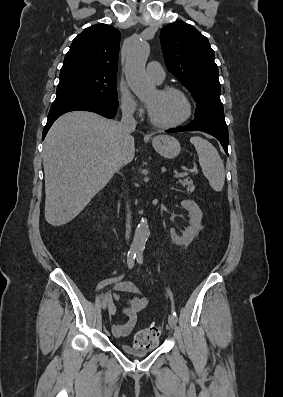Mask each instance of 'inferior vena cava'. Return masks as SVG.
<instances>
[{"instance_id": "1", "label": "inferior vena cava", "mask_w": 283, "mask_h": 397, "mask_svg": "<svg viewBox=\"0 0 283 397\" xmlns=\"http://www.w3.org/2000/svg\"><path fill=\"white\" fill-rule=\"evenodd\" d=\"M122 119L118 124V127L124 138H129L130 134L135 130L136 120L133 117L134 110L129 106H122ZM125 163L120 160L118 170L123 167ZM117 170V171H118ZM127 219H126V239H129L131 233V213L129 211V205H127Z\"/></svg>"}]
</instances>
